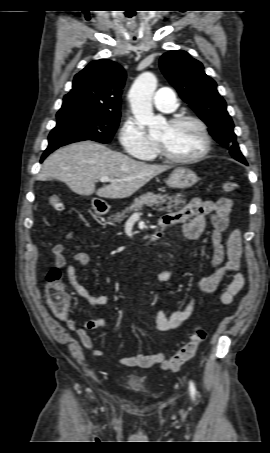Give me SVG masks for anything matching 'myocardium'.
<instances>
[{
	"label": "myocardium",
	"instance_id": "obj_1",
	"mask_svg": "<svg viewBox=\"0 0 270 453\" xmlns=\"http://www.w3.org/2000/svg\"><path fill=\"white\" fill-rule=\"evenodd\" d=\"M184 122H193L199 127V129L202 133V136H203L204 146H203L202 150L199 153H197L196 155L189 156V157H176V156H173L172 154H170L161 142L157 141V148H158L159 155L163 159H165L171 163H174V164H188V163L197 162V161L203 159L211 150V145H212L211 136H210L206 123L202 119H200L197 116H193V115H178V116L172 117L168 120V124L170 126H175V125H178V124H181Z\"/></svg>",
	"mask_w": 270,
	"mask_h": 453
}]
</instances>
